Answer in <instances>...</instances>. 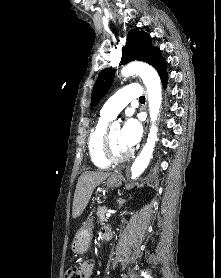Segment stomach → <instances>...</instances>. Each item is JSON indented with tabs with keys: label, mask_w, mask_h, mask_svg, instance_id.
Returning a JSON list of instances; mask_svg holds the SVG:
<instances>
[{
	"label": "stomach",
	"mask_w": 221,
	"mask_h": 278,
	"mask_svg": "<svg viewBox=\"0 0 221 278\" xmlns=\"http://www.w3.org/2000/svg\"><path fill=\"white\" fill-rule=\"evenodd\" d=\"M122 177L119 174H112L106 180L108 187H119L121 185ZM92 219L84 224L82 228L76 233L73 242L71 244V250L76 254H84L90 245L92 238Z\"/></svg>",
	"instance_id": "0dacf381"
}]
</instances>
